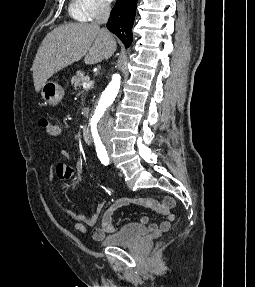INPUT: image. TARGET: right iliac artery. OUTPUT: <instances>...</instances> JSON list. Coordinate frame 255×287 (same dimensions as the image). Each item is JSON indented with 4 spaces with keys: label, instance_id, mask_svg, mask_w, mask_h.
I'll use <instances>...</instances> for the list:
<instances>
[{
    "label": "right iliac artery",
    "instance_id": "obj_1",
    "mask_svg": "<svg viewBox=\"0 0 255 287\" xmlns=\"http://www.w3.org/2000/svg\"><path fill=\"white\" fill-rule=\"evenodd\" d=\"M97 155H98V158L100 159L102 164H104V165L109 164L108 154H107V151L104 147H100L97 149Z\"/></svg>",
    "mask_w": 255,
    "mask_h": 287
}]
</instances>
